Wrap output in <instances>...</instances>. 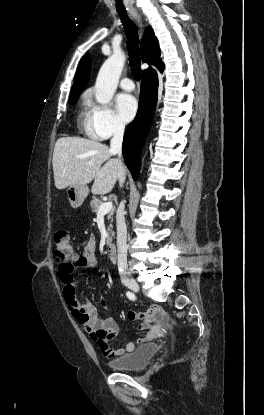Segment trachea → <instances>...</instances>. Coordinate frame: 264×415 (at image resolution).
I'll list each match as a JSON object with an SVG mask.
<instances>
[{"label": "trachea", "instance_id": "3493384b", "mask_svg": "<svg viewBox=\"0 0 264 415\" xmlns=\"http://www.w3.org/2000/svg\"><path fill=\"white\" fill-rule=\"evenodd\" d=\"M121 22L126 31L129 64L134 78L139 81L141 78V62L138 43V30L136 25L127 16L126 12H118Z\"/></svg>", "mask_w": 264, "mask_h": 415}]
</instances>
